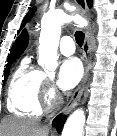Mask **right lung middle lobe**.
Segmentation results:
<instances>
[{
    "mask_svg": "<svg viewBox=\"0 0 117 136\" xmlns=\"http://www.w3.org/2000/svg\"><path fill=\"white\" fill-rule=\"evenodd\" d=\"M15 61V59L8 60V63L6 65V70H5V76H4V81L6 80L9 72V67L12 65V63Z\"/></svg>",
    "mask_w": 117,
    "mask_h": 136,
    "instance_id": "1",
    "label": "right lung middle lobe"
}]
</instances>
